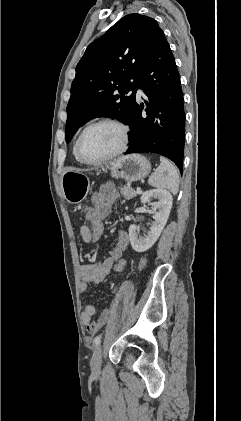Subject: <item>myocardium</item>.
<instances>
[{
  "label": "myocardium",
  "mask_w": 241,
  "mask_h": 421,
  "mask_svg": "<svg viewBox=\"0 0 241 421\" xmlns=\"http://www.w3.org/2000/svg\"><path fill=\"white\" fill-rule=\"evenodd\" d=\"M101 124H110L113 125L115 127H117L121 133V142L119 147L114 150L113 152H111L110 154L97 159V160H89L87 158L84 157L83 153H82V149H81V145H82V140L83 137L85 136V134L87 133L88 130H90L91 128L97 126V125H101ZM129 128L128 126L123 123L122 121L118 120V119H114V118H101L98 119L90 124H88L79 134L77 141H76V152L78 155V158L80 159L81 162L88 164V165H100L103 164L119 155H121L128 146L129 143Z\"/></svg>",
  "instance_id": "1"
}]
</instances>
